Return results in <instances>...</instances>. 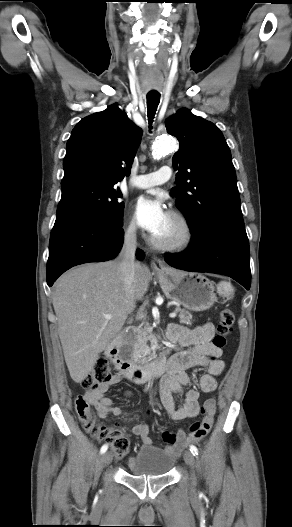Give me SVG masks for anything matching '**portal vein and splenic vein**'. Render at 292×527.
Masks as SVG:
<instances>
[{
    "label": "portal vein and splenic vein",
    "instance_id": "18ae733b",
    "mask_svg": "<svg viewBox=\"0 0 292 527\" xmlns=\"http://www.w3.org/2000/svg\"><path fill=\"white\" fill-rule=\"evenodd\" d=\"M176 315H177L176 312H172V313L169 314V317H171V318H175ZM104 317H105L106 319H111V318H112V315H111V314H106V315H104Z\"/></svg>",
    "mask_w": 292,
    "mask_h": 527
}]
</instances>
